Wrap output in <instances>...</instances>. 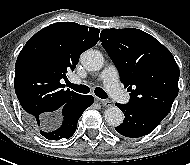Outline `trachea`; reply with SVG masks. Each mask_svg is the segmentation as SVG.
I'll list each match as a JSON object with an SVG mask.
<instances>
[{"mask_svg":"<svg viewBox=\"0 0 190 165\" xmlns=\"http://www.w3.org/2000/svg\"><path fill=\"white\" fill-rule=\"evenodd\" d=\"M67 86L73 89L74 91L82 93V94H87L90 92V88L86 85H76L68 81ZM94 93L101 99H106L108 97L106 92L100 87L95 88Z\"/></svg>","mask_w":190,"mask_h":165,"instance_id":"1","label":"trachea"}]
</instances>
